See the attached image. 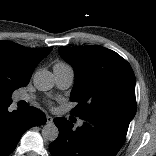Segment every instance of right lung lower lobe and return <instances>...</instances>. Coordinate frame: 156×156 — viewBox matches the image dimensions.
<instances>
[{
	"mask_svg": "<svg viewBox=\"0 0 156 156\" xmlns=\"http://www.w3.org/2000/svg\"><path fill=\"white\" fill-rule=\"evenodd\" d=\"M11 101H0V156H8L21 138L22 134L33 126L45 124L46 117L35 107L20 113L9 112Z\"/></svg>",
	"mask_w": 156,
	"mask_h": 156,
	"instance_id": "98d812e1",
	"label": "right lung lower lobe"
}]
</instances>
